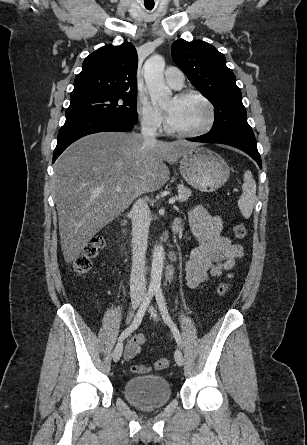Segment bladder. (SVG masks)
<instances>
[{
  "instance_id": "31cf9c89",
  "label": "bladder",
  "mask_w": 307,
  "mask_h": 445,
  "mask_svg": "<svg viewBox=\"0 0 307 445\" xmlns=\"http://www.w3.org/2000/svg\"><path fill=\"white\" fill-rule=\"evenodd\" d=\"M128 402L144 410L165 406L171 399L170 383L160 375H143L128 379L123 386Z\"/></svg>"
}]
</instances>
